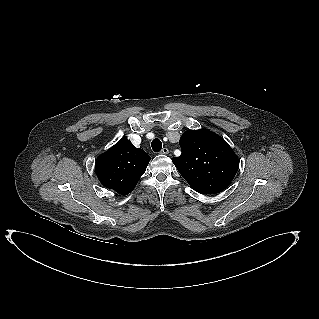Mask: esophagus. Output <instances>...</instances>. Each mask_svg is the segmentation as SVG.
Wrapping results in <instances>:
<instances>
[{"instance_id":"esophagus-1","label":"esophagus","mask_w":319,"mask_h":319,"mask_svg":"<svg viewBox=\"0 0 319 319\" xmlns=\"http://www.w3.org/2000/svg\"><path fill=\"white\" fill-rule=\"evenodd\" d=\"M160 153L166 155L169 153V150H168V148H162Z\"/></svg>"}]
</instances>
